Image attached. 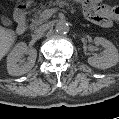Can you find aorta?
Here are the masks:
<instances>
[{
	"mask_svg": "<svg viewBox=\"0 0 119 119\" xmlns=\"http://www.w3.org/2000/svg\"><path fill=\"white\" fill-rule=\"evenodd\" d=\"M55 29L58 33H67L70 29V26L67 21L60 20L56 23Z\"/></svg>",
	"mask_w": 119,
	"mask_h": 119,
	"instance_id": "obj_1",
	"label": "aorta"
}]
</instances>
